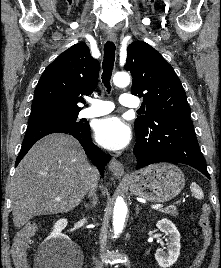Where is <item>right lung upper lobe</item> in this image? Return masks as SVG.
<instances>
[{
    "label": "right lung upper lobe",
    "instance_id": "1",
    "mask_svg": "<svg viewBox=\"0 0 221 268\" xmlns=\"http://www.w3.org/2000/svg\"><path fill=\"white\" fill-rule=\"evenodd\" d=\"M99 62L90 55L85 43L61 53L47 66L34 92L30 117L78 113L83 95L96 88Z\"/></svg>",
    "mask_w": 221,
    "mask_h": 268
}]
</instances>
